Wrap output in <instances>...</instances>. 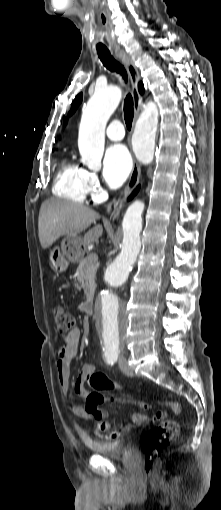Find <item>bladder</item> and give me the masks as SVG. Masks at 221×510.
Listing matches in <instances>:
<instances>
[{
    "label": "bladder",
    "instance_id": "31cf9c89",
    "mask_svg": "<svg viewBox=\"0 0 221 510\" xmlns=\"http://www.w3.org/2000/svg\"><path fill=\"white\" fill-rule=\"evenodd\" d=\"M136 435L134 433L125 434L115 441L104 442L95 441L88 444V448L94 453L103 455L107 458H119L128 455L134 447Z\"/></svg>",
    "mask_w": 221,
    "mask_h": 510
}]
</instances>
